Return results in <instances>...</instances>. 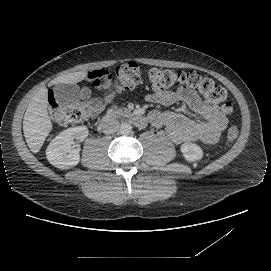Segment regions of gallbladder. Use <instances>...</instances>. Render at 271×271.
<instances>
[{
    "instance_id": "gallbladder-1",
    "label": "gallbladder",
    "mask_w": 271,
    "mask_h": 271,
    "mask_svg": "<svg viewBox=\"0 0 271 271\" xmlns=\"http://www.w3.org/2000/svg\"><path fill=\"white\" fill-rule=\"evenodd\" d=\"M53 89L58 93V101L67 108L78 106L82 100V88L80 84L74 80L56 83Z\"/></svg>"
}]
</instances>
